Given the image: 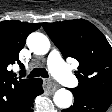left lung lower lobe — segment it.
<instances>
[{
	"mask_svg": "<svg viewBox=\"0 0 112 112\" xmlns=\"http://www.w3.org/2000/svg\"><path fill=\"white\" fill-rule=\"evenodd\" d=\"M74 95V104L61 112H105L112 103V100L78 95Z\"/></svg>",
	"mask_w": 112,
	"mask_h": 112,
	"instance_id": "obj_1",
	"label": "left lung lower lobe"
}]
</instances>
